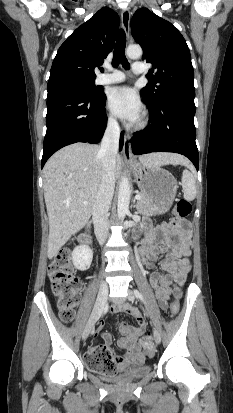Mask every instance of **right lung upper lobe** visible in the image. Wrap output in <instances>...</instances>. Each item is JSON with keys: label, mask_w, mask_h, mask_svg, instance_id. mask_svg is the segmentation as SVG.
<instances>
[{"label": "right lung upper lobe", "mask_w": 233, "mask_h": 413, "mask_svg": "<svg viewBox=\"0 0 233 413\" xmlns=\"http://www.w3.org/2000/svg\"><path fill=\"white\" fill-rule=\"evenodd\" d=\"M118 27L117 13L108 7L100 9L60 46L49 81L63 77L95 79L94 69L113 49Z\"/></svg>", "instance_id": "obj_1"}]
</instances>
